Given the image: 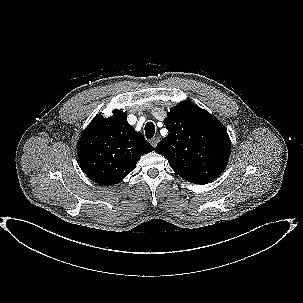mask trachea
Instances as JSON below:
<instances>
[{
	"mask_svg": "<svg viewBox=\"0 0 303 303\" xmlns=\"http://www.w3.org/2000/svg\"><path fill=\"white\" fill-rule=\"evenodd\" d=\"M155 134V125L152 122H147L145 125L146 138L151 139Z\"/></svg>",
	"mask_w": 303,
	"mask_h": 303,
	"instance_id": "obj_1",
	"label": "trachea"
}]
</instances>
